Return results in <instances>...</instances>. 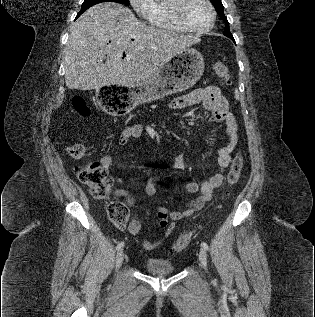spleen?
Here are the masks:
<instances>
[{"label": "spleen", "instance_id": "3e777b00", "mask_svg": "<svg viewBox=\"0 0 315 317\" xmlns=\"http://www.w3.org/2000/svg\"><path fill=\"white\" fill-rule=\"evenodd\" d=\"M235 96L236 98H239V93L237 91H235Z\"/></svg>", "mask_w": 315, "mask_h": 317}]
</instances>
